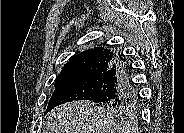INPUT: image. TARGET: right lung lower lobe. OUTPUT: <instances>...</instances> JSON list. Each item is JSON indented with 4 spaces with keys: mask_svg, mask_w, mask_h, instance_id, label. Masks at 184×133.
<instances>
[{
    "mask_svg": "<svg viewBox=\"0 0 184 133\" xmlns=\"http://www.w3.org/2000/svg\"><path fill=\"white\" fill-rule=\"evenodd\" d=\"M119 53H115L109 69L103 74V87L96 95L93 102L111 103L116 105L138 102L130 68L125 64Z\"/></svg>",
    "mask_w": 184,
    "mask_h": 133,
    "instance_id": "right-lung-lower-lobe-1",
    "label": "right lung lower lobe"
}]
</instances>
